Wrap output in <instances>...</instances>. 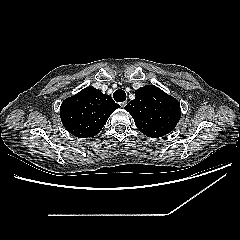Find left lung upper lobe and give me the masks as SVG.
Returning <instances> with one entry per match:
<instances>
[{
  "label": "left lung upper lobe",
  "instance_id": "1",
  "mask_svg": "<svg viewBox=\"0 0 240 240\" xmlns=\"http://www.w3.org/2000/svg\"><path fill=\"white\" fill-rule=\"evenodd\" d=\"M135 99L125 107L137 128L146 136L163 137L177 125L181 110L178 101L154 85L135 91Z\"/></svg>",
  "mask_w": 240,
  "mask_h": 240
}]
</instances>
